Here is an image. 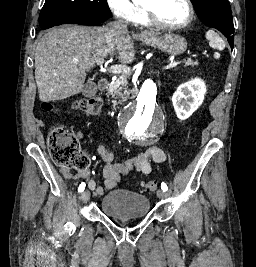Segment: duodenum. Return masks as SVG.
Listing matches in <instances>:
<instances>
[{
  "instance_id": "1",
  "label": "duodenum",
  "mask_w": 256,
  "mask_h": 267,
  "mask_svg": "<svg viewBox=\"0 0 256 267\" xmlns=\"http://www.w3.org/2000/svg\"><path fill=\"white\" fill-rule=\"evenodd\" d=\"M108 85H109V80L107 78H101L99 81H98V87L101 91H104L108 88ZM135 93H138V90H135ZM126 100L127 101H134L135 100V95L132 94L131 96H127L126 97Z\"/></svg>"
}]
</instances>
